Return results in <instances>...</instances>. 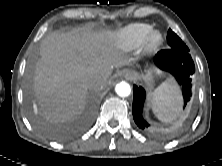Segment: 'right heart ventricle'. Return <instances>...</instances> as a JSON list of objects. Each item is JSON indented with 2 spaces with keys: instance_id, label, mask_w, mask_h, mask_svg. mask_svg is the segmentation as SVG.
<instances>
[{
  "instance_id": "obj_1",
  "label": "right heart ventricle",
  "mask_w": 222,
  "mask_h": 166,
  "mask_svg": "<svg viewBox=\"0 0 222 166\" xmlns=\"http://www.w3.org/2000/svg\"><path fill=\"white\" fill-rule=\"evenodd\" d=\"M152 26L147 23L130 24L114 35L115 43L118 47L132 50L139 47Z\"/></svg>"
}]
</instances>
